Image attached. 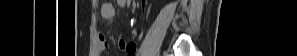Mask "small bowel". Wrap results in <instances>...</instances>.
<instances>
[{
	"mask_svg": "<svg viewBox=\"0 0 297 56\" xmlns=\"http://www.w3.org/2000/svg\"><path fill=\"white\" fill-rule=\"evenodd\" d=\"M127 0H117V4L121 7H124L127 4ZM101 15L103 18L110 20L115 16V9L113 5L109 3L103 4L101 8ZM119 47L123 50H126L129 54L134 51V45L133 44H127L125 41L120 40L119 41ZM107 48V41L104 35L100 34L98 37V43H97V51L98 53H102Z\"/></svg>",
	"mask_w": 297,
	"mask_h": 56,
	"instance_id": "1",
	"label": "small bowel"
}]
</instances>
